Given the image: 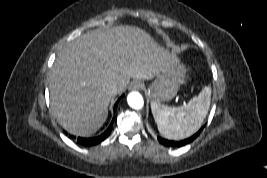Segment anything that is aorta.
<instances>
[{
    "instance_id": "obj_1",
    "label": "aorta",
    "mask_w": 267,
    "mask_h": 178,
    "mask_svg": "<svg viewBox=\"0 0 267 178\" xmlns=\"http://www.w3.org/2000/svg\"><path fill=\"white\" fill-rule=\"evenodd\" d=\"M128 105L133 109H141L144 105V100L139 92H130L127 96Z\"/></svg>"
}]
</instances>
